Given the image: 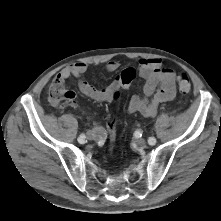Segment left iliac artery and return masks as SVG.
I'll use <instances>...</instances> for the list:
<instances>
[{
  "label": "left iliac artery",
  "mask_w": 221,
  "mask_h": 221,
  "mask_svg": "<svg viewBox=\"0 0 221 221\" xmlns=\"http://www.w3.org/2000/svg\"><path fill=\"white\" fill-rule=\"evenodd\" d=\"M148 143H149L150 145H155L156 139H155L154 137H150V138L148 139Z\"/></svg>",
  "instance_id": "1"
}]
</instances>
